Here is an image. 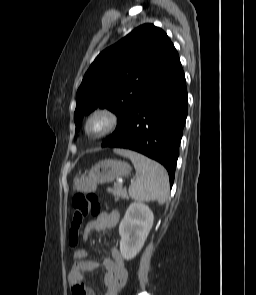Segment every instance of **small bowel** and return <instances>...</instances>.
<instances>
[{
  "label": "small bowel",
  "mask_w": 256,
  "mask_h": 295,
  "mask_svg": "<svg viewBox=\"0 0 256 295\" xmlns=\"http://www.w3.org/2000/svg\"><path fill=\"white\" fill-rule=\"evenodd\" d=\"M120 220L118 211L104 212L95 220L89 222L84 230V240L88 241L94 232H102L113 229ZM88 251L78 249L74 252V263L68 274V282L73 295H95L94 290L84 284V273L92 272L99 266H103L104 274V295H118L124 286L128 272L124 265L123 257L117 247L112 249V258H104L101 261L88 260Z\"/></svg>",
  "instance_id": "1"
}]
</instances>
